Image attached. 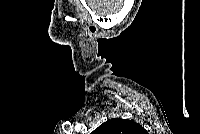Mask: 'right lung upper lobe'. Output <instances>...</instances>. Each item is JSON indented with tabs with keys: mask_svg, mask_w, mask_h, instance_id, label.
I'll list each match as a JSON object with an SVG mask.
<instances>
[{
	"mask_svg": "<svg viewBox=\"0 0 200 134\" xmlns=\"http://www.w3.org/2000/svg\"><path fill=\"white\" fill-rule=\"evenodd\" d=\"M93 134H146V130L128 119H111L100 125Z\"/></svg>",
	"mask_w": 200,
	"mask_h": 134,
	"instance_id": "right-lung-upper-lobe-1",
	"label": "right lung upper lobe"
}]
</instances>
